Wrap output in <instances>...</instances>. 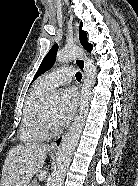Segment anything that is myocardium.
I'll list each match as a JSON object with an SVG mask.
<instances>
[{
	"instance_id": "1",
	"label": "myocardium",
	"mask_w": 138,
	"mask_h": 186,
	"mask_svg": "<svg viewBox=\"0 0 138 186\" xmlns=\"http://www.w3.org/2000/svg\"><path fill=\"white\" fill-rule=\"evenodd\" d=\"M38 124L41 130L46 134V135H56L60 133L61 129L59 127H53L47 117V109L46 105L43 104L40 113H39V118H38Z\"/></svg>"
}]
</instances>
